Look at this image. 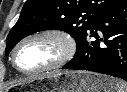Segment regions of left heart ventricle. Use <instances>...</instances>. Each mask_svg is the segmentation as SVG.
Returning <instances> with one entry per match:
<instances>
[{"mask_svg":"<svg viewBox=\"0 0 127 92\" xmlns=\"http://www.w3.org/2000/svg\"><path fill=\"white\" fill-rule=\"evenodd\" d=\"M62 53L61 44L50 37L32 39L21 46L17 64L23 70H35L50 65Z\"/></svg>","mask_w":127,"mask_h":92,"instance_id":"1","label":"left heart ventricle"}]
</instances>
